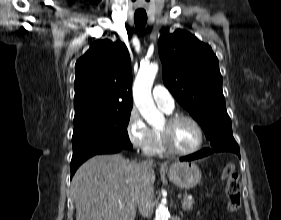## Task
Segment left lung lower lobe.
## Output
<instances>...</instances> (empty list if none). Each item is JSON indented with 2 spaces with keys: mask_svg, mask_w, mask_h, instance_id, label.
Masks as SVG:
<instances>
[{
  "mask_svg": "<svg viewBox=\"0 0 281 220\" xmlns=\"http://www.w3.org/2000/svg\"><path fill=\"white\" fill-rule=\"evenodd\" d=\"M214 152H221L212 148H208V149H203L195 154L189 155V156H185L180 158L181 161H190V160H194V159H199L202 157H205L209 154H212ZM229 152H233L236 153L239 157H240V151H239V147L238 148H233L231 149Z\"/></svg>",
  "mask_w": 281,
  "mask_h": 220,
  "instance_id": "0a47b994",
  "label": "left lung lower lobe"
}]
</instances>
